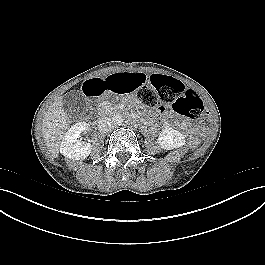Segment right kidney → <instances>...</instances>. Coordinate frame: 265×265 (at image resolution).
Segmentation results:
<instances>
[{"label": "right kidney", "mask_w": 265, "mask_h": 265, "mask_svg": "<svg viewBox=\"0 0 265 265\" xmlns=\"http://www.w3.org/2000/svg\"><path fill=\"white\" fill-rule=\"evenodd\" d=\"M88 129V124L85 122H78L64 134L61 144L60 153L73 160H84L92 151L90 143H84L78 140L80 134Z\"/></svg>", "instance_id": "right-kidney-1"}]
</instances>
